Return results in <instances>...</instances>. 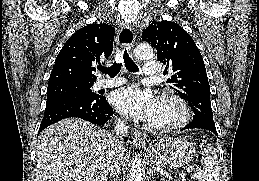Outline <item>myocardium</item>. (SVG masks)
Wrapping results in <instances>:
<instances>
[{
	"instance_id": "obj_1",
	"label": "myocardium",
	"mask_w": 259,
	"mask_h": 181,
	"mask_svg": "<svg viewBox=\"0 0 259 181\" xmlns=\"http://www.w3.org/2000/svg\"><path fill=\"white\" fill-rule=\"evenodd\" d=\"M158 101L169 102L178 110V116L172 122L166 124H154L148 122L147 126L151 131L157 133H168L184 127L191 119V111L188 103L183 97L173 90H165L158 98Z\"/></svg>"
}]
</instances>
